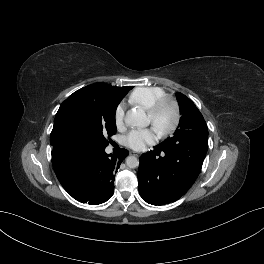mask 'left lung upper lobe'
Returning a JSON list of instances; mask_svg holds the SVG:
<instances>
[{"label":"left lung upper lobe","mask_w":264,"mask_h":264,"mask_svg":"<svg viewBox=\"0 0 264 264\" xmlns=\"http://www.w3.org/2000/svg\"><path fill=\"white\" fill-rule=\"evenodd\" d=\"M180 107L179 128L173 137L167 138L161 144L165 148L183 146V143L194 142L201 138H208L206 122L195 104L185 95L176 93Z\"/></svg>","instance_id":"obj_1"}]
</instances>
